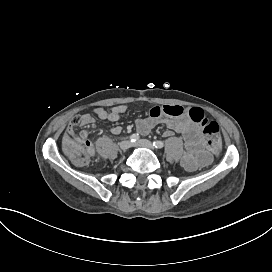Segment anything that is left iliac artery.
<instances>
[{"label": "left iliac artery", "mask_w": 272, "mask_h": 272, "mask_svg": "<svg viewBox=\"0 0 272 272\" xmlns=\"http://www.w3.org/2000/svg\"><path fill=\"white\" fill-rule=\"evenodd\" d=\"M153 146L160 149L164 146V143L162 141H153Z\"/></svg>", "instance_id": "obj_1"}]
</instances>
